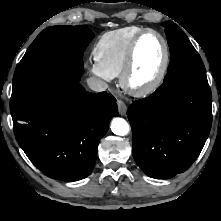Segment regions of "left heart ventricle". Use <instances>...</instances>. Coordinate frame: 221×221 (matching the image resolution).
I'll list each match as a JSON object with an SVG mask.
<instances>
[{"label": "left heart ventricle", "mask_w": 221, "mask_h": 221, "mask_svg": "<svg viewBox=\"0 0 221 221\" xmlns=\"http://www.w3.org/2000/svg\"><path fill=\"white\" fill-rule=\"evenodd\" d=\"M164 50L154 34L145 35L138 43L130 83L134 87L149 84L157 75L163 61Z\"/></svg>", "instance_id": "left-heart-ventricle-1"}]
</instances>
